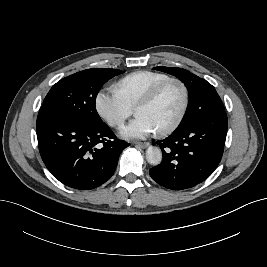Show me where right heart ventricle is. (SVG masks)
I'll return each instance as SVG.
<instances>
[{"mask_svg":"<svg viewBox=\"0 0 267 267\" xmlns=\"http://www.w3.org/2000/svg\"><path fill=\"white\" fill-rule=\"evenodd\" d=\"M169 78L167 74L139 70L120 78L114 86L115 91L132 107L159 82Z\"/></svg>","mask_w":267,"mask_h":267,"instance_id":"obj_1","label":"right heart ventricle"}]
</instances>
